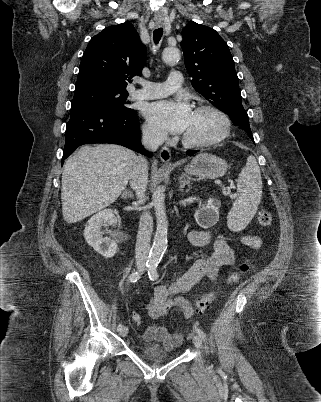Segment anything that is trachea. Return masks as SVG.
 <instances>
[{
	"mask_svg": "<svg viewBox=\"0 0 321 402\" xmlns=\"http://www.w3.org/2000/svg\"><path fill=\"white\" fill-rule=\"evenodd\" d=\"M162 35H163V28L160 27V28L154 30V33H153V40H154V43H155L156 45H157V44L159 43V41L161 40Z\"/></svg>",
	"mask_w": 321,
	"mask_h": 402,
	"instance_id": "trachea-1",
	"label": "trachea"
}]
</instances>
